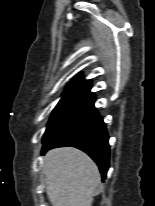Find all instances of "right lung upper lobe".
<instances>
[{
	"instance_id": "right-lung-upper-lobe-1",
	"label": "right lung upper lobe",
	"mask_w": 155,
	"mask_h": 206,
	"mask_svg": "<svg viewBox=\"0 0 155 206\" xmlns=\"http://www.w3.org/2000/svg\"><path fill=\"white\" fill-rule=\"evenodd\" d=\"M76 88L90 89L91 82H90V80H82L80 77H76L75 79H73L72 82H70L67 85L66 89H76Z\"/></svg>"
}]
</instances>
